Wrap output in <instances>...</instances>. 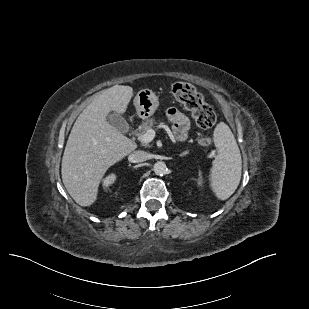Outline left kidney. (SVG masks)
<instances>
[{
	"label": "left kidney",
	"mask_w": 309,
	"mask_h": 309,
	"mask_svg": "<svg viewBox=\"0 0 309 309\" xmlns=\"http://www.w3.org/2000/svg\"><path fill=\"white\" fill-rule=\"evenodd\" d=\"M201 182H202V179H201V178H199V179H198V184L200 185V184H201Z\"/></svg>",
	"instance_id": "obj_1"
}]
</instances>
